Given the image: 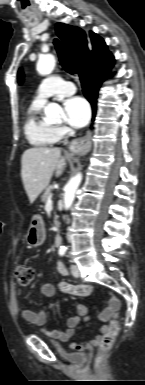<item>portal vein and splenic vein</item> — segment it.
Returning a JSON list of instances; mask_svg holds the SVG:
<instances>
[{"instance_id":"portal-vein-and-splenic-vein-1","label":"portal vein and splenic vein","mask_w":145,"mask_h":385,"mask_svg":"<svg viewBox=\"0 0 145 385\" xmlns=\"http://www.w3.org/2000/svg\"><path fill=\"white\" fill-rule=\"evenodd\" d=\"M52 205H53V201L51 198H49L46 202V205H45V208L46 209H51L52 208Z\"/></svg>"}]
</instances>
